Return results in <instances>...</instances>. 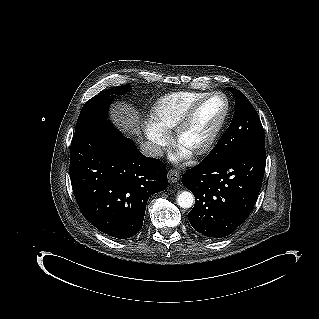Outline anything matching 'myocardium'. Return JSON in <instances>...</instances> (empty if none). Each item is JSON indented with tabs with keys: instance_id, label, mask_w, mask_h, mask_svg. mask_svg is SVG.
Segmentation results:
<instances>
[{
	"instance_id": "obj_1",
	"label": "myocardium",
	"mask_w": 319,
	"mask_h": 319,
	"mask_svg": "<svg viewBox=\"0 0 319 319\" xmlns=\"http://www.w3.org/2000/svg\"><path fill=\"white\" fill-rule=\"evenodd\" d=\"M214 97H220L223 99L224 102V109H223V113L219 119V121L217 122L216 126L214 127V129L212 130V132L210 133V135L207 137V139L201 143L200 145L196 146V147H187L183 144L182 142V135L185 131V129L187 128V126L191 123V121L193 120L196 112L198 111V109L208 100H210L211 98ZM228 112H229V102L226 98V96L218 91H214V92H210L205 94L202 98H200L189 110L188 112L185 114V116L183 117V119L179 122V124L175 127L174 130V142L175 144L184 152L188 153L189 155H193V156H198V155H202L204 153H206L215 143L218 135L220 134L224 123L226 121V118L228 116Z\"/></svg>"
}]
</instances>
